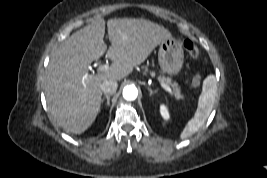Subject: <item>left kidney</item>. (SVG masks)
Listing matches in <instances>:
<instances>
[{"label": "left kidney", "mask_w": 267, "mask_h": 178, "mask_svg": "<svg viewBox=\"0 0 267 178\" xmlns=\"http://www.w3.org/2000/svg\"><path fill=\"white\" fill-rule=\"evenodd\" d=\"M160 114L164 118V120H169L170 114L165 104L160 105Z\"/></svg>", "instance_id": "obj_1"}]
</instances>
